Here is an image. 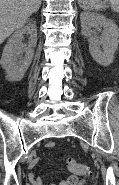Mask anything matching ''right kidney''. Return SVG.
I'll use <instances>...</instances> for the list:
<instances>
[{
	"mask_svg": "<svg viewBox=\"0 0 119 185\" xmlns=\"http://www.w3.org/2000/svg\"><path fill=\"white\" fill-rule=\"evenodd\" d=\"M29 34V42L26 47L22 43L23 35ZM37 43V27L34 23L27 24L24 28L17 30L8 40L4 47L1 65L6 71V78L10 81H20L30 66L34 47Z\"/></svg>",
	"mask_w": 119,
	"mask_h": 185,
	"instance_id": "right-kidney-1",
	"label": "right kidney"
}]
</instances>
